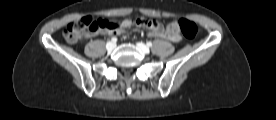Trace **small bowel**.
I'll return each instance as SVG.
<instances>
[{
  "label": "small bowel",
  "instance_id": "1",
  "mask_svg": "<svg viewBox=\"0 0 276 120\" xmlns=\"http://www.w3.org/2000/svg\"><path fill=\"white\" fill-rule=\"evenodd\" d=\"M127 25H128V22L125 21L118 32H122L126 28ZM148 28L150 30L149 36L164 38V39H167L172 42H179L181 39L179 34H177V33L172 34V33L167 32L163 28V26L156 20H152V23ZM107 33L111 34L113 32H107ZM87 37H89V36H87Z\"/></svg>",
  "mask_w": 276,
  "mask_h": 120
}]
</instances>
